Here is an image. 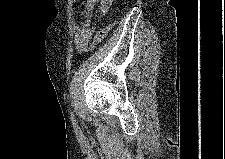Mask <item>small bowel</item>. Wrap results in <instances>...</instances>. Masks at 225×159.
<instances>
[{
  "mask_svg": "<svg viewBox=\"0 0 225 159\" xmlns=\"http://www.w3.org/2000/svg\"><path fill=\"white\" fill-rule=\"evenodd\" d=\"M112 5V0H102L100 5V14H106ZM96 6L95 0H88L86 3V15L87 20L86 24L82 27H79L76 30L75 38H74V46L78 52H84L87 50L91 36L92 30L89 27V23L91 22L94 10Z\"/></svg>",
  "mask_w": 225,
  "mask_h": 159,
  "instance_id": "1",
  "label": "small bowel"
}]
</instances>
